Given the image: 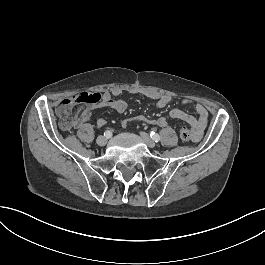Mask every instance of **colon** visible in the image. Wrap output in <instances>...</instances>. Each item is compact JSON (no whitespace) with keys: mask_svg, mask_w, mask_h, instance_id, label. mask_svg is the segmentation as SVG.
<instances>
[{"mask_svg":"<svg viewBox=\"0 0 265 265\" xmlns=\"http://www.w3.org/2000/svg\"><path fill=\"white\" fill-rule=\"evenodd\" d=\"M101 101V96L97 92L77 93L71 95L64 100V105L58 108V114L60 116V124L63 127H70L73 124V119L77 115V111L74 110L79 106L97 105ZM68 106V107H67ZM180 137L183 141L189 142L190 135L180 127Z\"/></svg>","mask_w":265,"mask_h":265,"instance_id":"5ec220e1","label":"colon"}]
</instances>
